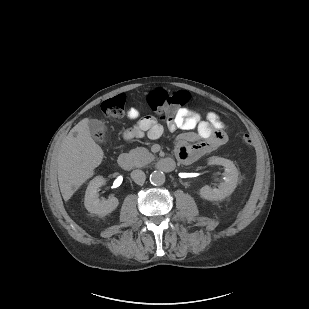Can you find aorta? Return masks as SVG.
Instances as JSON below:
<instances>
[{
    "label": "aorta",
    "mask_w": 309,
    "mask_h": 309,
    "mask_svg": "<svg viewBox=\"0 0 309 309\" xmlns=\"http://www.w3.org/2000/svg\"><path fill=\"white\" fill-rule=\"evenodd\" d=\"M150 182L155 186L163 185L165 182V174L162 171H153L150 175Z\"/></svg>",
    "instance_id": "1"
}]
</instances>
